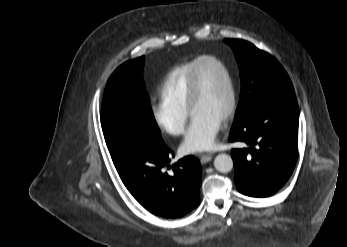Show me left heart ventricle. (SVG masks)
Masks as SVG:
<instances>
[{
	"label": "left heart ventricle",
	"mask_w": 347,
	"mask_h": 247,
	"mask_svg": "<svg viewBox=\"0 0 347 247\" xmlns=\"http://www.w3.org/2000/svg\"><path fill=\"white\" fill-rule=\"evenodd\" d=\"M199 98L192 115L205 114L223 118L229 103V87L225 73L213 62L205 61L198 69Z\"/></svg>",
	"instance_id": "left-heart-ventricle-1"
}]
</instances>
